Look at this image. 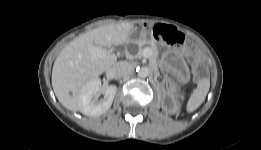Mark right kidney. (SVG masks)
<instances>
[{"instance_id":"1","label":"right kidney","mask_w":261,"mask_h":150,"mask_svg":"<svg viewBox=\"0 0 261 150\" xmlns=\"http://www.w3.org/2000/svg\"><path fill=\"white\" fill-rule=\"evenodd\" d=\"M116 92L117 87L115 85H110L102 89L99 78L88 82L79 91L80 111L91 117L102 115L110 109ZM99 93H103V99L98 100L97 95Z\"/></svg>"}]
</instances>
